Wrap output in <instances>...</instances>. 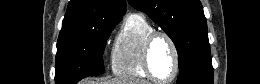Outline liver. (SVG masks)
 <instances>
[{
	"instance_id": "obj_1",
	"label": "liver",
	"mask_w": 260,
	"mask_h": 84,
	"mask_svg": "<svg viewBox=\"0 0 260 84\" xmlns=\"http://www.w3.org/2000/svg\"><path fill=\"white\" fill-rule=\"evenodd\" d=\"M81 84H148L146 81L143 80H131V79H112L109 81H92L90 79H86L82 81Z\"/></svg>"
}]
</instances>
